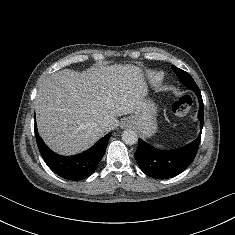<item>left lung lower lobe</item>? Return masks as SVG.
Returning a JSON list of instances; mask_svg holds the SVG:
<instances>
[{
	"label": "left lung lower lobe",
	"mask_w": 235,
	"mask_h": 235,
	"mask_svg": "<svg viewBox=\"0 0 235 235\" xmlns=\"http://www.w3.org/2000/svg\"><path fill=\"white\" fill-rule=\"evenodd\" d=\"M182 83L188 88H193L186 80H183ZM194 92L200 104L198 118L200 120L201 132L199 136L190 144L169 151L155 149L143 140L138 139V147L134 157L140 169L146 175L156 179L171 178L180 174L193 162L198 151L204 120V106L201 92L199 89H195Z\"/></svg>",
	"instance_id": "obj_1"
}]
</instances>
